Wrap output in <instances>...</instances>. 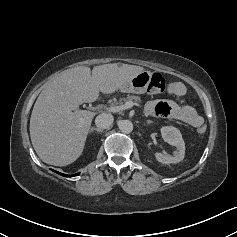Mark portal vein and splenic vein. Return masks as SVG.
Here are the masks:
<instances>
[{
  "label": "portal vein and splenic vein",
  "mask_w": 237,
  "mask_h": 237,
  "mask_svg": "<svg viewBox=\"0 0 237 237\" xmlns=\"http://www.w3.org/2000/svg\"><path fill=\"white\" fill-rule=\"evenodd\" d=\"M133 106H134L133 101H127L124 104H120V105H117V106H111L107 110L109 112L116 113V112H120V111H123V110H126V109H130Z\"/></svg>",
  "instance_id": "1"
}]
</instances>
